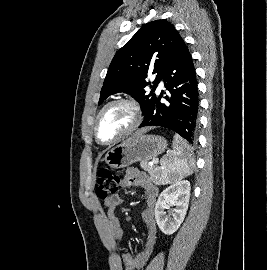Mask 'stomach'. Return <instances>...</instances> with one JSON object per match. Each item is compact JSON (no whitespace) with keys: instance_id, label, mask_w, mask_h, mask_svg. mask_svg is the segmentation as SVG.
Here are the masks:
<instances>
[{"instance_id":"obj_1","label":"stomach","mask_w":267,"mask_h":270,"mask_svg":"<svg viewBox=\"0 0 267 270\" xmlns=\"http://www.w3.org/2000/svg\"><path fill=\"white\" fill-rule=\"evenodd\" d=\"M167 141L159 135L142 134L111 148L105 162L113 168H124L138 161H149L162 154Z\"/></svg>"}]
</instances>
